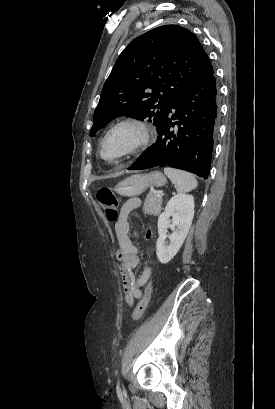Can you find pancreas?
<instances>
[{
	"label": "pancreas",
	"mask_w": 275,
	"mask_h": 409,
	"mask_svg": "<svg viewBox=\"0 0 275 409\" xmlns=\"http://www.w3.org/2000/svg\"><path fill=\"white\" fill-rule=\"evenodd\" d=\"M162 198L156 192H148L144 202V213L147 215H160Z\"/></svg>",
	"instance_id": "1"
}]
</instances>
